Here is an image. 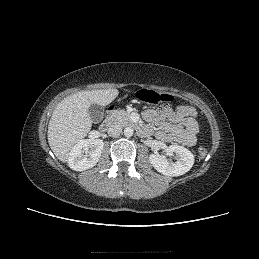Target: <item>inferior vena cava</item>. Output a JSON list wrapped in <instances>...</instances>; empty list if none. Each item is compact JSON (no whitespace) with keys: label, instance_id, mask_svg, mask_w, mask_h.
<instances>
[{"label":"inferior vena cava","instance_id":"1","mask_svg":"<svg viewBox=\"0 0 259 259\" xmlns=\"http://www.w3.org/2000/svg\"><path fill=\"white\" fill-rule=\"evenodd\" d=\"M122 132V127L119 124L113 123L108 126L107 133L111 137H116Z\"/></svg>","mask_w":259,"mask_h":259}]
</instances>
